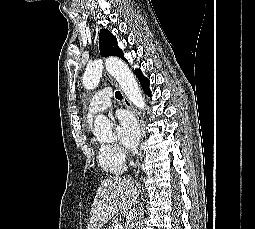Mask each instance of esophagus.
<instances>
[{"instance_id":"34e87169","label":"esophagus","mask_w":255,"mask_h":229,"mask_svg":"<svg viewBox=\"0 0 255 229\" xmlns=\"http://www.w3.org/2000/svg\"><path fill=\"white\" fill-rule=\"evenodd\" d=\"M107 76L110 77V75H107ZM112 81H113V79H112ZM114 83L119 88L118 84L115 81H114ZM120 91H121V89H120ZM121 93L123 95V103H124V105L126 106V108L130 109L131 112L136 117V120H137V123H138V127H139V129L141 131V146H140L138 154H137V159H136L135 168H134L135 176H138L139 171H140V167H141L142 157H143L142 144H143L144 137H145L144 130H143V119H142L141 115L139 114V112L132 106V104L130 103L128 98L124 95V93L122 91H121Z\"/></svg>"}]
</instances>
